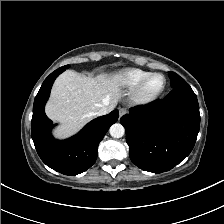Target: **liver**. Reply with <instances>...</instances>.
I'll return each instance as SVG.
<instances>
[{
	"label": "liver",
	"mask_w": 224,
	"mask_h": 224,
	"mask_svg": "<svg viewBox=\"0 0 224 224\" xmlns=\"http://www.w3.org/2000/svg\"><path fill=\"white\" fill-rule=\"evenodd\" d=\"M120 95L121 79L117 75L93 77L68 70L56 79L45 111L61 124L55 135L64 138L81 129L100 108L113 110Z\"/></svg>",
	"instance_id": "6515ba94"
}]
</instances>
